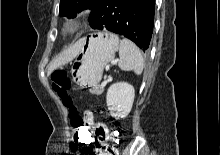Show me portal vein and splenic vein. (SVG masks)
<instances>
[{
  "label": "portal vein and splenic vein",
  "instance_id": "18ae733b",
  "mask_svg": "<svg viewBox=\"0 0 220 155\" xmlns=\"http://www.w3.org/2000/svg\"><path fill=\"white\" fill-rule=\"evenodd\" d=\"M106 69H109V67L107 66ZM108 81H109V79H108V80H104V81L101 83V87L104 88V87L106 86V84H107Z\"/></svg>",
  "mask_w": 220,
  "mask_h": 155
}]
</instances>
